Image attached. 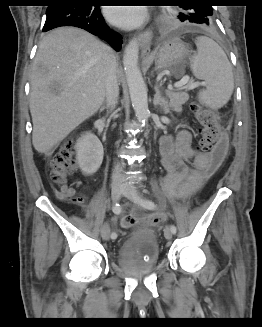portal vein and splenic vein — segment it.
Segmentation results:
<instances>
[{
	"label": "portal vein and splenic vein",
	"instance_id": "1",
	"mask_svg": "<svg viewBox=\"0 0 262 327\" xmlns=\"http://www.w3.org/2000/svg\"><path fill=\"white\" fill-rule=\"evenodd\" d=\"M201 83L195 82V83H189V77L184 76L180 81L174 84V87L177 89H181L182 87L186 90H192L198 86H200Z\"/></svg>",
	"mask_w": 262,
	"mask_h": 327
}]
</instances>
